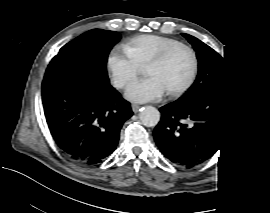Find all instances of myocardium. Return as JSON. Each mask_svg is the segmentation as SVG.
<instances>
[{"instance_id":"1","label":"myocardium","mask_w":270,"mask_h":213,"mask_svg":"<svg viewBox=\"0 0 270 213\" xmlns=\"http://www.w3.org/2000/svg\"><path fill=\"white\" fill-rule=\"evenodd\" d=\"M178 50H185L187 51L192 58V67L190 70V74L188 79L178 88L173 90H168V95L172 98L179 97L183 93H185L192 85L195 80V76L197 73V66H198V60L195 51L188 45L185 44H179L177 46L171 47L169 49H166L159 53L156 57H154L151 62L148 64V68L152 66L159 65L162 63L169 55L172 53L178 51Z\"/></svg>"}]
</instances>
